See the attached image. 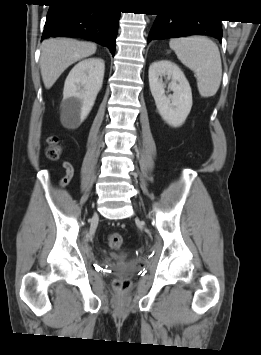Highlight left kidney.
<instances>
[{
  "mask_svg": "<svg viewBox=\"0 0 261 355\" xmlns=\"http://www.w3.org/2000/svg\"><path fill=\"white\" fill-rule=\"evenodd\" d=\"M162 77L170 80L168 88L172 95H165ZM149 86L162 119L170 126L180 127L192 107V91L183 71L171 61L153 62L149 67Z\"/></svg>",
  "mask_w": 261,
  "mask_h": 355,
  "instance_id": "5707ae66",
  "label": "left kidney"
}]
</instances>
